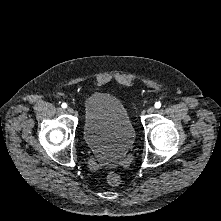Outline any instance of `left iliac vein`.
<instances>
[{"instance_id":"obj_1","label":"left iliac vein","mask_w":221,"mask_h":221,"mask_svg":"<svg viewBox=\"0 0 221 221\" xmlns=\"http://www.w3.org/2000/svg\"><path fill=\"white\" fill-rule=\"evenodd\" d=\"M155 112V108L154 107H149L148 109H147V113L148 114H152V113H154Z\"/></svg>"}]
</instances>
